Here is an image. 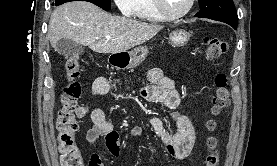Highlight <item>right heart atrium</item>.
Returning a JSON list of instances; mask_svg holds the SVG:
<instances>
[{
	"label": "right heart atrium",
	"mask_w": 277,
	"mask_h": 166,
	"mask_svg": "<svg viewBox=\"0 0 277 166\" xmlns=\"http://www.w3.org/2000/svg\"><path fill=\"white\" fill-rule=\"evenodd\" d=\"M114 2L123 14L131 15L135 7L136 0H114Z\"/></svg>",
	"instance_id": "right-heart-atrium-1"
}]
</instances>
